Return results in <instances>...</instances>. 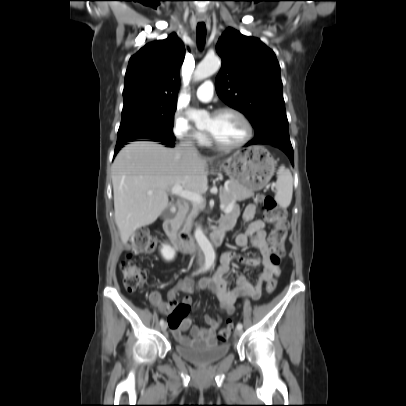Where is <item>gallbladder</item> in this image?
<instances>
[{
  "label": "gallbladder",
  "mask_w": 406,
  "mask_h": 406,
  "mask_svg": "<svg viewBox=\"0 0 406 406\" xmlns=\"http://www.w3.org/2000/svg\"><path fill=\"white\" fill-rule=\"evenodd\" d=\"M173 216H174V213L171 211L170 207L166 208V209L163 211L162 215H161V217H162L163 219L171 218V217H173Z\"/></svg>",
  "instance_id": "bac80fb5"
}]
</instances>
